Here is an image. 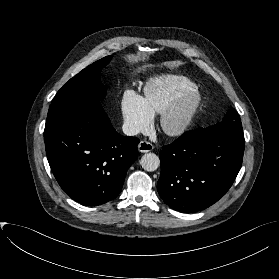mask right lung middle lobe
<instances>
[{"label": "right lung middle lobe", "mask_w": 279, "mask_h": 279, "mask_svg": "<svg viewBox=\"0 0 279 279\" xmlns=\"http://www.w3.org/2000/svg\"><path fill=\"white\" fill-rule=\"evenodd\" d=\"M111 58V55L106 56L87 66L58 91L50 105L45 129L56 125L83 104L99 102L106 95V86L101 83L99 73Z\"/></svg>", "instance_id": "dd1d6c3e"}]
</instances>
